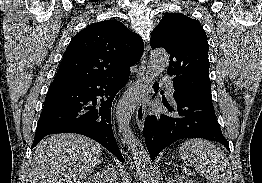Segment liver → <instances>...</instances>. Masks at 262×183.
<instances>
[{
    "label": "liver",
    "instance_id": "1",
    "mask_svg": "<svg viewBox=\"0 0 262 183\" xmlns=\"http://www.w3.org/2000/svg\"><path fill=\"white\" fill-rule=\"evenodd\" d=\"M102 148L79 134H53L35 147L29 183H84L100 162Z\"/></svg>",
    "mask_w": 262,
    "mask_h": 183
}]
</instances>
